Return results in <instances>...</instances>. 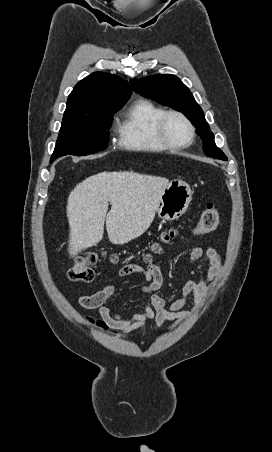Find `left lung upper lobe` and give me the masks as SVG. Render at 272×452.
Masks as SVG:
<instances>
[{
	"label": "left lung upper lobe",
	"mask_w": 272,
	"mask_h": 452,
	"mask_svg": "<svg viewBox=\"0 0 272 452\" xmlns=\"http://www.w3.org/2000/svg\"><path fill=\"white\" fill-rule=\"evenodd\" d=\"M133 90L144 97L169 106L185 114L197 128L196 133L203 140L205 155L226 161V155L216 146L214 134L209 130L201 107L181 80L170 74H158L130 81Z\"/></svg>",
	"instance_id": "5c2ea615"
}]
</instances>
